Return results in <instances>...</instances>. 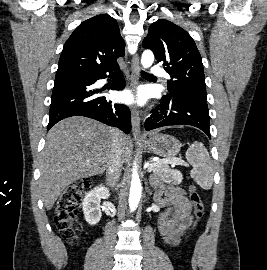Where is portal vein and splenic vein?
I'll use <instances>...</instances> for the list:
<instances>
[{
	"label": "portal vein and splenic vein",
	"mask_w": 267,
	"mask_h": 270,
	"mask_svg": "<svg viewBox=\"0 0 267 270\" xmlns=\"http://www.w3.org/2000/svg\"><path fill=\"white\" fill-rule=\"evenodd\" d=\"M162 162H165L167 164H171L172 166H174V165H185V162L183 160L179 159V158H172V159L164 160ZM144 168L147 169L148 172H151L152 165H150L149 163H145Z\"/></svg>",
	"instance_id": "18ae733b"
}]
</instances>
